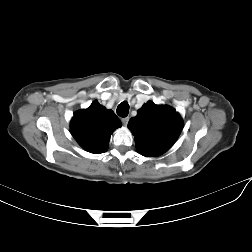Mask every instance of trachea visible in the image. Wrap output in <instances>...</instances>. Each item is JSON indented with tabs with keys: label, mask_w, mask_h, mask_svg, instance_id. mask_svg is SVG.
<instances>
[{
	"label": "trachea",
	"mask_w": 252,
	"mask_h": 252,
	"mask_svg": "<svg viewBox=\"0 0 252 252\" xmlns=\"http://www.w3.org/2000/svg\"><path fill=\"white\" fill-rule=\"evenodd\" d=\"M129 113V104L127 101L121 102L117 107V114L120 117H126Z\"/></svg>",
	"instance_id": "3493384b"
}]
</instances>
